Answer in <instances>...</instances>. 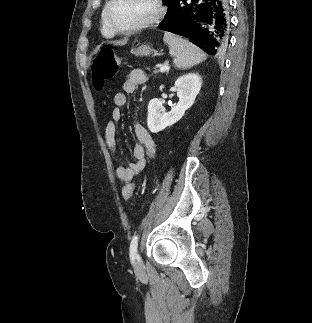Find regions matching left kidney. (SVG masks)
I'll use <instances>...</instances> for the list:
<instances>
[{
  "label": "left kidney",
  "instance_id": "obj_1",
  "mask_svg": "<svg viewBox=\"0 0 312 323\" xmlns=\"http://www.w3.org/2000/svg\"><path fill=\"white\" fill-rule=\"evenodd\" d=\"M202 80L199 74H186L176 80L174 86L179 98L178 104L171 108L170 112H165L160 100H150L148 104L147 126L150 132L157 134L162 132L167 126H173L181 120L186 110L191 108L195 102L197 94L200 92Z\"/></svg>",
  "mask_w": 312,
  "mask_h": 323
}]
</instances>
